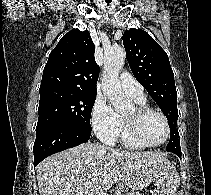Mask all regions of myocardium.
Segmentation results:
<instances>
[{
	"instance_id": "f54148a6",
	"label": "myocardium",
	"mask_w": 211,
	"mask_h": 195,
	"mask_svg": "<svg viewBox=\"0 0 211 195\" xmlns=\"http://www.w3.org/2000/svg\"><path fill=\"white\" fill-rule=\"evenodd\" d=\"M151 113L159 115L163 119L165 126H166V136H165L164 140L159 142V143L147 142L142 138V136L140 134V130H139L140 120L144 116L151 114ZM124 121H125L126 129H127L129 136L135 142H137L138 144H140L143 147H158V146H161L165 142H167V140L170 137L171 128H170L168 118L166 117V115L162 111H160L158 109H155V108H152V107H149V106H146V105H138V106L135 107V115L133 117H126L125 116Z\"/></svg>"
}]
</instances>
